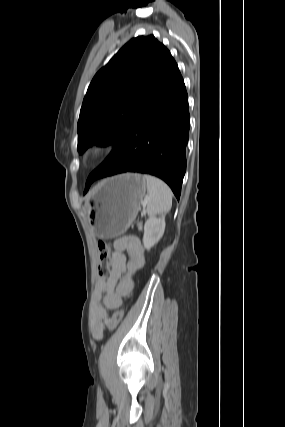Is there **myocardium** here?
Masks as SVG:
<instances>
[{
	"instance_id": "1",
	"label": "myocardium",
	"mask_w": 285,
	"mask_h": 427,
	"mask_svg": "<svg viewBox=\"0 0 285 427\" xmlns=\"http://www.w3.org/2000/svg\"><path fill=\"white\" fill-rule=\"evenodd\" d=\"M108 151V147L104 144H94L85 152V160L88 163H95L101 160Z\"/></svg>"
}]
</instances>
